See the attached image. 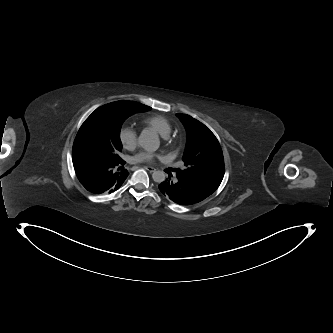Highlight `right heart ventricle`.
<instances>
[{"label": "right heart ventricle", "mask_w": 333, "mask_h": 333, "mask_svg": "<svg viewBox=\"0 0 333 333\" xmlns=\"http://www.w3.org/2000/svg\"><path fill=\"white\" fill-rule=\"evenodd\" d=\"M141 123L145 126L153 128L162 136L168 135L171 131V125L169 121L163 116L159 115L148 116L142 119Z\"/></svg>", "instance_id": "right-heart-ventricle-1"}]
</instances>
